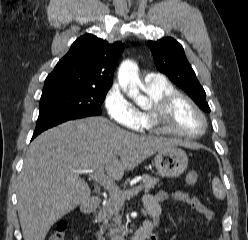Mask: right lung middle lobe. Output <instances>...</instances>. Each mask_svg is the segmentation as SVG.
Returning a JSON list of instances; mask_svg holds the SVG:
<instances>
[{
  "instance_id": "obj_1",
  "label": "right lung middle lobe",
  "mask_w": 248,
  "mask_h": 240,
  "mask_svg": "<svg viewBox=\"0 0 248 240\" xmlns=\"http://www.w3.org/2000/svg\"><path fill=\"white\" fill-rule=\"evenodd\" d=\"M108 90L59 88L42 92L38 118H83L101 114Z\"/></svg>"
}]
</instances>
